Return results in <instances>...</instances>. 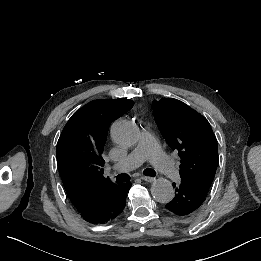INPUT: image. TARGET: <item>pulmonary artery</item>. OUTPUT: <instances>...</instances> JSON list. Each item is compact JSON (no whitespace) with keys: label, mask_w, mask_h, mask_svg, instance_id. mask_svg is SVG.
<instances>
[{"label":"pulmonary artery","mask_w":261,"mask_h":261,"mask_svg":"<svg viewBox=\"0 0 261 261\" xmlns=\"http://www.w3.org/2000/svg\"><path fill=\"white\" fill-rule=\"evenodd\" d=\"M144 161H150L161 171L163 178L168 183H177L181 179V172L175 167L170 157L160 150L158 141L148 126H143L138 144L119 163L113 166L112 172L121 173L131 171L140 166Z\"/></svg>","instance_id":"1"}]
</instances>
